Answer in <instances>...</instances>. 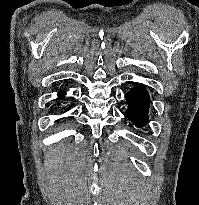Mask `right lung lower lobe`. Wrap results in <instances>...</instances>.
I'll return each mask as SVG.
<instances>
[{"mask_svg":"<svg viewBox=\"0 0 199 205\" xmlns=\"http://www.w3.org/2000/svg\"><path fill=\"white\" fill-rule=\"evenodd\" d=\"M63 95H64V92H63V91H60V92H59V99H61V98L63 97Z\"/></svg>","mask_w":199,"mask_h":205,"instance_id":"right-lung-lower-lobe-1","label":"right lung lower lobe"}]
</instances>
